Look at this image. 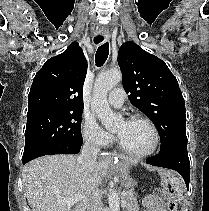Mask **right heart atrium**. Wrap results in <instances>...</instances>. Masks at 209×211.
<instances>
[{
  "label": "right heart atrium",
  "instance_id": "d8ad5b80",
  "mask_svg": "<svg viewBox=\"0 0 209 211\" xmlns=\"http://www.w3.org/2000/svg\"><path fill=\"white\" fill-rule=\"evenodd\" d=\"M82 136L86 143L95 147L109 145L113 137L106 132L91 116H85L82 121Z\"/></svg>",
  "mask_w": 209,
  "mask_h": 211
}]
</instances>
